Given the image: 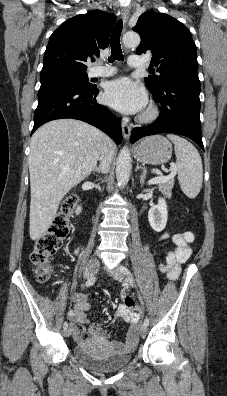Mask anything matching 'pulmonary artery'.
<instances>
[{
    "mask_svg": "<svg viewBox=\"0 0 227 396\" xmlns=\"http://www.w3.org/2000/svg\"><path fill=\"white\" fill-rule=\"evenodd\" d=\"M128 63L131 67H141L144 65L145 61L137 55H132L128 59ZM117 73V70L111 66H96L90 70L91 77H108Z\"/></svg>",
    "mask_w": 227,
    "mask_h": 396,
    "instance_id": "pulmonary-artery-1",
    "label": "pulmonary artery"
}]
</instances>
